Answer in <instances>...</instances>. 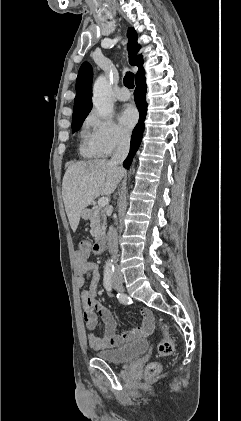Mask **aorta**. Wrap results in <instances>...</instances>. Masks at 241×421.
Returning a JSON list of instances; mask_svg holds the SVG:
<instances>
[{"label": "aorta", "instance_id": "1", "mask_svg": "<svg viewBox=\"0 0 241 421\" xmlns=\"http://www.w3.org/2000/svg\"><path fill=\"white\" fill-rule=\"evenodd\" d=\"M92 101L101 117L105 118L112 112L111 86L105 76L101 75L96 79L93 86ZM108 264L111 263L108 262Z\"/></svg>", "mask_w": 241, "mask_h": 421}]
</instances>
